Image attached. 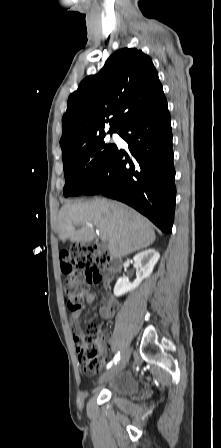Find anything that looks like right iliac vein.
<instances>
[{
  "label": "right iliac vein",
  "instance_id": "right-iliac-vein-1",
  "mask_svg": "<svg viewBox=\"0 0 221 448\" xmlns=\"http://www.w3.org/2000/svg\"><path fill=\"white\" fill-rule=\"evenodd\" d=\"M130 353L131 350L128 348L127 350L124 351V353L121 356V359L118 361V363L112 367L107 373V376H114L118 373H120L125 366L127 365L129 358H130Z\"/></svg>",
  "mask_w": 221,
  "mask_h": 448
}]
</instances>
